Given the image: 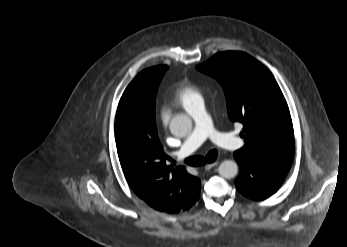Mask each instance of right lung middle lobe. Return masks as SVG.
<instances>
[{"mask_svg":"<svg viewBox=\"0 0 347 247\" xmlns=\"http://www.w3.org/2000/svg\"><path fill=\"white\" fill-rule=\"evenodd\" d=\"M167 68V66H155L148 68L137 75L141 76L147 82L149 100L153 107H155V98L159 83Z\"/></svg>","mask_w":347,"mask_h":247,"instance_id":"right-lung-middle-lobe-1","label":"right lung middle lobe"}]
</instances>
